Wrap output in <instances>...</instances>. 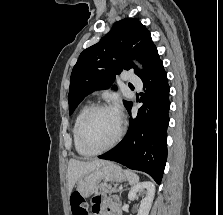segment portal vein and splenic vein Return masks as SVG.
Wrapping results in <instances>:
<instances>
[{"instance_id":"1","label":"portal vein and splenic vein","mask_w":223,"mask_h":215,"mask_svg":"<svg viewBox=\"0 0 223 215\" xmlns=\"http://www.w3.org/2000/svg\"><path fill=\"white\" fill-rule=\"evenodd\" d=\"M118 188L121 190V189H123V186L120 185Z\"/></svg>"}]
</instances>
